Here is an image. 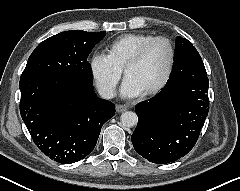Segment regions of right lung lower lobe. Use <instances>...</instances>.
<instances>
[{
  "label": "right lung lower lobe",
  "instance_id": "obj_1",
  "mask_svg": "<svg viewBox=\"0 0 240 191\" xmlns=\"http://www.w3.org/2000/svg\"><path fill=\"white\" fill-rule=\"evenodd\" d=\"M20 113L37 147L50 159L71 164L94 149L115 107L92 85L56 75L20 78Z\"/></svg>",
  "mask_w": 240,
  "mask_h": 191
}]
</instances>
